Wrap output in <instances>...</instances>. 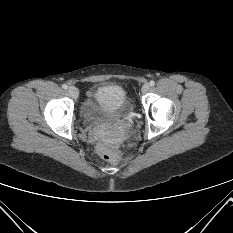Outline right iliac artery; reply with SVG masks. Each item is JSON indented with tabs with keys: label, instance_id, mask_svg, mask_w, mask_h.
<instances>
[{
	"label": "right iliac artery",
	"instance_id": "82829eb1",
	"mask_svg": "<svg viewBox=\"0 0 233 233\" xmlns=\"http://www.w3.org/2000/svg\"><path fill=\"white\" fill-rule=\"evenodd\" d=\"M62 88H63V89H67L68 86H67L66 84H63V85H62Z\"/></svg>",
	"mask_w": 233,
	"mask_h": 233
}]
</instances>
